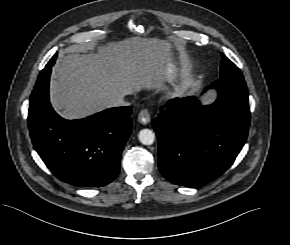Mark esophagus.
Returning <instances> with one entry per match:
<instances>
[{
  "instance_id": "esophagus-1",
  "label": "esophagus",
  "mask_w": 290,
  "mask_h": 245,
  "mask_svg": "<svg viewBox=\"0 0 290 245\" xmlns=\"http://www.w3.org/2000/svg\"><path fill=\"white\" fill-rule=\"evenodd\" d=\"M138 121L144 125L150 122V113L148 109L144 108L140 111L138 115Z\"/></svg>"
}]
</instances>
